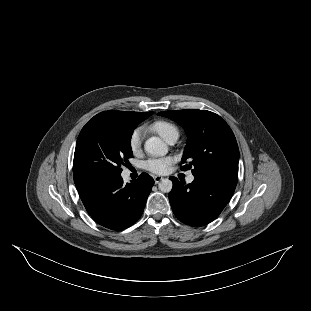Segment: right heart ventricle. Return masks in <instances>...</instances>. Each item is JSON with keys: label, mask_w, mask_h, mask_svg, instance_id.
Here are the masks:
<instances>
[{"label": "right heart ventricle", "mask_w": 311, "mask_h": 311, "mask_svg": "<svg viewBox=\"0 0 311 311\" xmlns=\"http://www.w3.org/2000/svg\"><path fill=\"white\" fill-rule=\"evenodd\" d=\"M152 130L160 135L165 141L178 139L180 129L178 125L169 120H158L152 124Z\"/></svg>", "instance_id": "obj_1"}]
</instances>
